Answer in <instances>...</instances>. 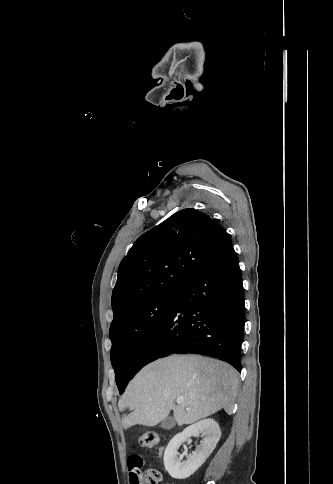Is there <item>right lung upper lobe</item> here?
<instances>
[{"label":"right lung upper lobe","mask_w":333,"mask_h":484,"mask_svg":"<svg viewBox=\"0 0 333 484\" xmlns=\"http://www.w3.org/2000/svg\"><path fill=\"white\" fill-rule=\"evenodd\" d=\"M232 246L207 214L183 209L137 239L121 261L112 292L113 321L157 295L180 290Z\"/></svg>","instance_id":"1"}]
</instances>
